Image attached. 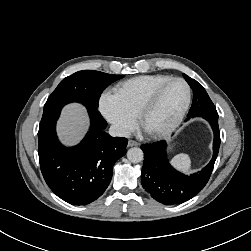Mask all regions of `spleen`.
<instances>
[{
  "label": "spleen",
  "mask_w": 251,
  "mask_h": 251,
  "mask_svg": "<svg viewBox=\"0 0 251 251\" xmlns=\"http://www.w3.org/2000/svg\"><path fill=\"white\" fill-rule=\"evenodd\" d=\"M171 164L180 171L188 172L191 167V160L187 154H178L171 160Z\"/></svg>",
  "instance_id": "spleen-1"
}]
</instances>
